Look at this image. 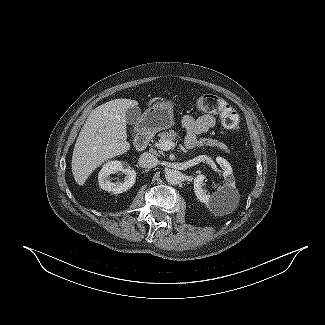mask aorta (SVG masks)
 I'll return each mask as SVG.
<instances>
[{"mask_svg":"<svg viewBox=\"0 0 325 325\" xmlns=\"http://www.w3.org/2000/svg\"><path fill=\"white\" fill-rule=\"evenodd\" d=\"M165 178L169 184L178 185L183 180V174L179 170L170 169L166 172Z\"/></svg>","mask_w":325,"mask_h":325,"instance_id":"1","label":"aorta"}]
</instances>
